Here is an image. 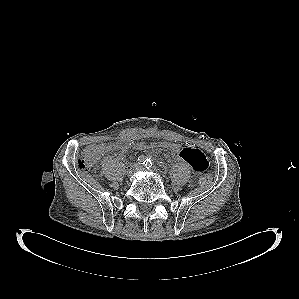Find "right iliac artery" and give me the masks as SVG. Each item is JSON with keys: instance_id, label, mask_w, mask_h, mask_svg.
<instances>
[{"instance_id": "1", "label": "right iliac artery", "mask_w": 299, "mask_h": 299, "mask_svg": "<svg viewBox=\"0 0 299 299\" xmlns=\"http://www.w3.org/2000/svg\"><path fill=\"white\" fill-rule=\"evenodd\" d=\"M147 160L148 159H146L144 156H140L138 158V164H140V165H146Z\"/></svg>"}]
</instances>
